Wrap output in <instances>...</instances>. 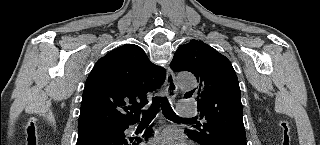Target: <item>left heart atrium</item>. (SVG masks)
<instances>
[{
    "label": "left heart atrium",
    "mask_w": 320,
    "mask_h": 145,
    "mask_svg": "<svg viewBox=\"0 0 320 145\" xmlns=\"http://www.w3.org/2000/svg\"><path fill=\"white\" fill-rule=\"evenodd\" d=\"M155 145H183L180 134L174 130H167L154 140Z\"/></svg>",
    "instance_id": "left-heart-atrium-1"
}]
</instances>
